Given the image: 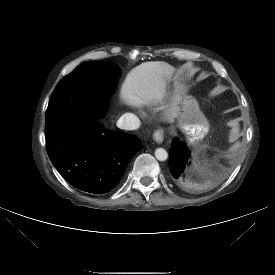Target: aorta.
<instances>
[{
  "label": "aorta",
  "mask_w": 275,
  "mask_h": 275,
  "mask_svg": "<svg viewBox=\"0 0 275 275\" xmlns=\"http://www.w3.org/2000/svg\"><path fill=\"white\" fill-rule=\"evenodd\" d=\"M155 157L157 158V160L159 161H165L168 158V153L165 149L163 148H157L155 150Z\"/></svg>",
  "instance_id": "1"
}]
</instances>
